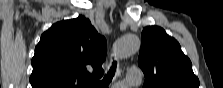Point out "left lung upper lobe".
Returning <instances> with one entry per match:
<instances>
[{
    "instance_id": "5c2ea615",
    "label": "left lung upper lobe",
    "mask_w": 223,
    "mask_h": 88,
    "mask_svg": "<svg viewBox=\"0 0 223 88\" xmlns=\"http://www.w3.org/2000/svg\"><path fill=\"white\" fill-rule=\"evenodd\" d=\"M138 64L145 75L143 88H199L190 59L180 44L157 26L141 34Z\"/></svg>"
}]
</instances>
